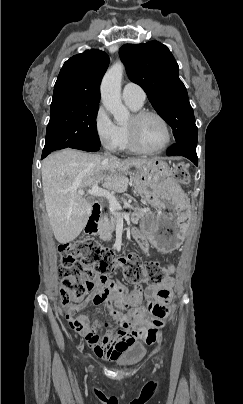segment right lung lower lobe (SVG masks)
Wrapping results in <instances>:
<instances>
[{
	"label": "right lung lower lobe",
	"instance_id": "1",
	"mask_svg": "<svg viewBox=\"0 0 243 404\" xmlns=\"http://www.w3.org/2000/svg\"><path fill=\"white\" fill-rule=\"evenodd\" d=\"M99 147L100 146L89 145V144H75V145L71 146V148H74V149L85 150V151H90V152L98 151Z\"/></svg>",
	"mask_w": 243,
	"mask_h": 404
}]
</instances>
